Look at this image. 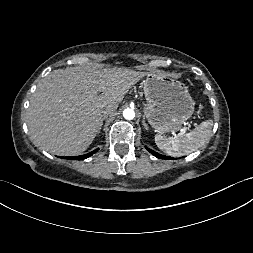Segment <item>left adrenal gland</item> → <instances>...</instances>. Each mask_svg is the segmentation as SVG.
Returning <instances> with one entry per match:
<instances>
[{"instance_id": "obj_1", "label": "left adrenal gland", "mask_w": 253, "mask_h": 253, "mask_svg": "<svg viewBox=\"0 0 253 253\" xmlns=\"http://www.w3.org/2000/svg\"><path fill=\"white\" fill-rule=\"evenodd\" d=\"M142 124H143L144 128L147 130L148 126H147V124L145 122V117L144 116H143Z\"/></svg>"}]
</instances>
